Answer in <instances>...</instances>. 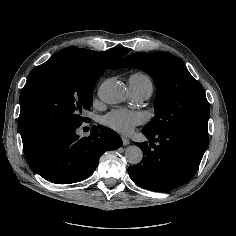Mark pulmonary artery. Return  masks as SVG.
I'll return each mask as SVG.
<instances>
[{
	"label": "pulmonary artery",
	"instance_id": "pulmonary-artery-1",
	"mask_svg": "<svg viewBox=\"0 0 236 236\" xmlns=\"http://www.w3.org/2000/svg\"><path fill=\"white\" fill-rule=\"evenodd\" d=\"M130 95L135 103H141L149 98V93L144 90L135 89L129 86Z\"/></svg>",
	"mask_w": 236,
	"mask_h": 236
}]
</instances>
